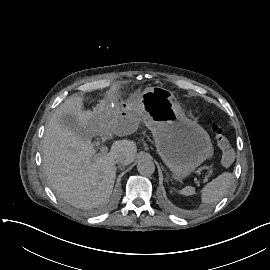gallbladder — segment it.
I'll return each instance as SVG.
<instances>
[{
    "label": "gallbladder",
    "mask_w": 270,
    "mask_h": 270,
    "mask_svg": "<svg viewBox=\"0 0 270 270\" xmlns=\"http://www.w3.org/2000/svg\"><path fill=\"white\" fill-rule=\"evenodd\" d=\"M63 123L66 127H68L71 131H73L76 134H81L84 132L83 126L79 123L77 118L75 117H65L63 120Z\"/></svg>",
    "instance_id": "obj_1"
}]
</instances>
